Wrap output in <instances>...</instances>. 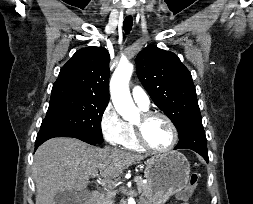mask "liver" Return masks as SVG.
I'll return each instance as SVG.
<instances>
[{
    "label": "liver",
    "instance_id": "liver-1",
    "mask_svg": "<svg viewBox=\"0 0 253 204\" xmlns=\"http://www.w3.org/2000/svg\"><path fill=\"white\" fill-rule=\"evenodd\" d=\"M143 159L141 155L94 147L75 138L50 139L34 156L35 204H55L56 193L84 190L94 173L100 171L102 178L109 180Z\"/></svg>",
    "mask_w": 253,
    "mask_h": 204
}]
</instances>
